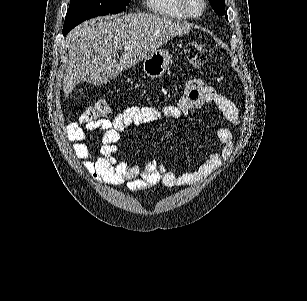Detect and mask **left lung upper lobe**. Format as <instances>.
<instances>
[{
	"mask_svg": "<svg viewBox=\"0 0 307 301\" xmlns=\"http://www.w3.org/2000/svg\"><path fill=\"white\" fill-rule=\"evenodd\" d=\"M211 6L214 11L220 15L225 16L226 20H228L227 15H225V1L224 0H209Z\"/></svg>",
	"mask_w": 307,
	"mask_h": 301,
	"instance_id": "left-lung-upper-lobe-1",
	"label": "left lung upper lobe"
}]
</instances>
